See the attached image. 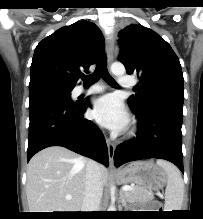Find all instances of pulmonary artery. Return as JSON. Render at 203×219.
Returning <instances> with one entry per match:
<instances>
[{
  "instance_id": "pulmonary-artery-1",
  "label": "pulmonary artery",
  "mask_w": 203,
  "mask_h": 219,
  "mask_svg": "<svg viewBox=\"0 0 203 219\" xmlns=\"http://www.w3.org/2000/svg\"><path fill=\"white\" fill-rule=\"evenodd\" d=\"M119 85L123 88H129L134 85V80L130 76H122L119 78ZM103 90V87L100 85H93L89 88H80L78 90L79 94H93L98 93Z\"/></svg>"
}]
</instances>
